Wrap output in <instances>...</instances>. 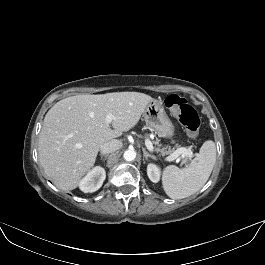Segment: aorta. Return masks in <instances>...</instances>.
<instances>
[{"mask_svg": "<svg viewBox=\"0 0 265 265\" xmlns=\"http://www.w3.org/2000/svg\"><path fill=\"white\" fill-rule=\"evenodd\" d=\"M123 157L126 161H133L136 158V152L133 149H128L124 152Z\"/></svg>", "mask_w": 265, "mask_h": 265, "instance_id": "762f6f07", "label": "aorta"}]
</instances>
